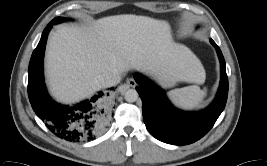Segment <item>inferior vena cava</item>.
<instances>
[{"instance_id": "1", "label": "inferior vena cava", "mask_w": 267, "mask_h": 166, "mask_svg": "<svg viewBox=\"0 0 267 166\" xmlns=\"http://www.w3.org/2000/svg\"><path fill=\"white\" fill-rule=\"evenodd\" d=\"M120 79V74L115 72H107L100 78L102 85L105 87L118 84L120 82Z\"/></svg>"}]
</instances>
